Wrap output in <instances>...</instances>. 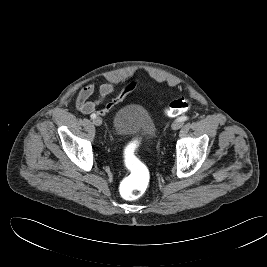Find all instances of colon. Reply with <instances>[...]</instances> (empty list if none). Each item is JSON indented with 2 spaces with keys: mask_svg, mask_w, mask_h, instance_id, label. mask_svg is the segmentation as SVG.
<instances>
[{
  "mask_svg": "<svg viewBox=\"0 0 267 267\" xmlns=\"http://www.w3.org/2000/svg\"><path fill=\"white\" fill-rule=\"evenodd\" d=\"M190 107L191 101L188 98H178L170 103L165 114L174 117L186 112ZM138 146L139 141L134 140L124 150V162L129 173L122 181L120 191L122 196L129 200L139 198L149 183V171L136 155Z\"/></svg>",
  "mask_w": 267,
  "mask_h": 267,
  "instance_id": "colon-1",
  "label": "colon"
}]
</instances>
